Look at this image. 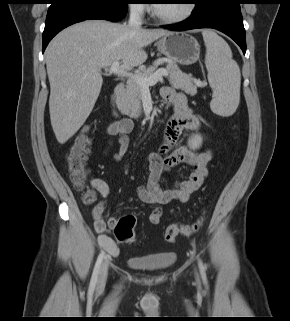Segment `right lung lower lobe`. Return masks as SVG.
I'll use <instances>...</instances> for the list:
<instances>
[{
  "mask_svg": "<svg viewBox=\"0 0 290 321\" xmlns=\"http://www.w3.org/2000/svg\"><path fill=\"white\" fill-rule=\"evenodd\" d=\"M127 10V4L90 5L78 2L53 3L49 7L46 17L45 29L42 36V50L44 52L50 40L67 26L91 19L117 22L125 17Z\"/></svg>",
  "mask_w": 290,
  "mask_h": 321,
  "instance_id": "right-lung-lower-lobe-1",
  "label": "right lung lower lobe"
}]
</instances>
